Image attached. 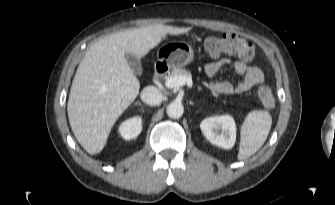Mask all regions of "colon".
I'll return each mask as SVG.
<instances>
[{"label": "colon", "instance_id": "5ec220e1", "mask_svg": "<svg viewBox=\"0 0 335 205\" xmlns=\"http://www.w3.org/2000/svg\"><path fill=\"white\" fill-rule=\"evenodd\" d=\"M205 49L214 58L222 55H237L242 61L249 62L255 56L254 46L235 34L209 37L205 40ZM257 100L265 108H272L275 104V98L269 86L258 89Z\"/></svg>", "mask_w": 335, "mask_h": 205}]
</instances>
